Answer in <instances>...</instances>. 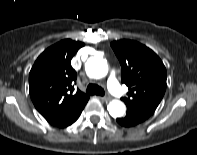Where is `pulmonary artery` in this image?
<instances>
[{"instance_id":"1","label":"pulmonary artery","mask_w":197,"mask_h":155,"mask_svg":"<svg viewBox=\"0 0 197 155\" xmlns=\"http://www.w3.org/2000/svg\"><path fill=\"white\" fill-rule=\"evenodd\" d=\"M107 84H108L109 90L115 96L120 97L123 95L120 84H119L118 79L116 77V73L114 71H111Z\"/></svg>"}]
</instances>
